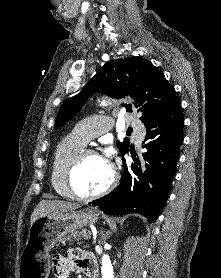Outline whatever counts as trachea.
<instances>
[{"label": "trachea", "instance_id": "3493384b", "mask_svg": "<svg viewBox=\"0 0 221 278\" xmlns=\"http://www.w3.org/2000/svg\"><path fill=\"white\" fill-rule=\"evenodd\" d=\"M132 131L131 130H129L127 133H131Z\"/></svg>", "mask_w": 221, "mask_h": 278}]
</instances>
